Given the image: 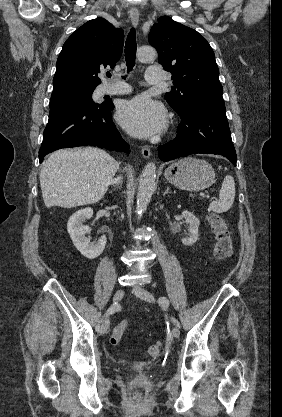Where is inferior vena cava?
I'll return each mask as SVG.
<instances>
[{"label": "inferior vena cava", "instance_id": "inferior-vena-cava-1", "mask_svg": "<svg viewBox=\"0 0 282 417\" xmlns=\"http://www.w3.org/2000/svg\"><path fill=\"white\" fill-rule=\"evenodd\" d=\"M112 182H121V176H117V178H114Z\"/></svg>", "mask_w": 282, "mask_h": 417}]
</instances>
